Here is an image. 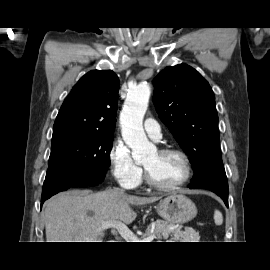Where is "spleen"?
Masks as SVG:
<instances>
[{
  "mask_svg": "<svg viewBox=\"0 0 270 270\" xmlns=\"http://www.w3.org/2000/svg\"><path fill=\"white\" fill-rule=\"evenodd\" d=\"M214 221H215L216 225H222V223H223L222 213L220 211H218V210H215Z\"/></svg>",
  "mask_w": 270,
  "mask_h": 270,
  "instance_id": "obj_1",
  "label": "spleen"
}]
</instances>
